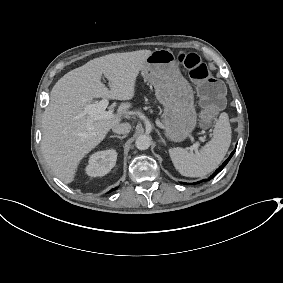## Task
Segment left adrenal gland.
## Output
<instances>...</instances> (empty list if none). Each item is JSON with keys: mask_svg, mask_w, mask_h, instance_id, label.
<instances>
[{"mask_svg": "<svg viewBox=\"0 0 283 283\" xmlns=\"http://www.w3.org/2000/svg\"><path fill=\"white\" fill-rule=\"evenodd\" d=\"M155 131H156L157 134L159 135L161 142H163V143L165 144V140L162 138V136H161L159 130H158V129H155Z\"/></svg>", "mask_w": 283, "mask_h": 283, "instance_id": "1", "label": "left adrenal gland"}]
</instances>
